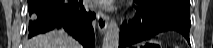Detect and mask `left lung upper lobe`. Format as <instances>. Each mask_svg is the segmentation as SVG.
I'll use <instances>...</instances> for the list:
<instances>
[{
  "mask_svg": "<svg viewBox=\"0 0 213 48\" xmlns=\"http://www.w3.org/2000/svg\"><path fill=\"white\" fill-rule=\"evenodd\" d=\"M173 1L182 3V4L186 5V6H190V1L189 0H173Z\"/></svg>",
  "mask_w": 213,
  "mask_h": 48,
  "instance_id": "left-lung-upper-lobe-1",
  "label": "left lung upper lobe"
}]
</instances>
